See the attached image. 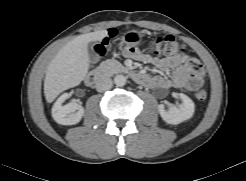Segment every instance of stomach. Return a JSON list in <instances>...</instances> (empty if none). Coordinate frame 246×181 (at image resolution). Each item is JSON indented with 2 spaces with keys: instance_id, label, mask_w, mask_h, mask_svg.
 I'll use <instances>...</instances> for the list:
<instances>
[{
  "instance_id": "obj_1",
  "label": "stomach",
  "mask_w": 246,
  "mask_h": 181,
  "mask_svg": "<svg viewBox=\"0 0 246 181\" xmlns=\"http://www.w3.org/2000/svg\"><path fill=\"white\" fill-rule=\"evenodd\" d=\"M142 40V34L139 31L132 30L122 36V41L126 45H138Z\"/></svg>"
}]
</instances>
